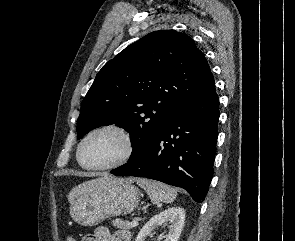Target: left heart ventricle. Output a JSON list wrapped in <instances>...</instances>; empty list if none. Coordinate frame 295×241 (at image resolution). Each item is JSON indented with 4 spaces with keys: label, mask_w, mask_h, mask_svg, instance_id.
Wrapping results in <instances>:
<instances>
[{
    "label": "left heart ventricle",
    "mask_w": 295,
    "mask_h": 241,
    "mask_svg": "<svg viewBox=\"0 0 295 241\" xmlns=\"http://www.w3.org/2000/svg\"><path fill=\"white\" fill-rule=\"evenodd\" d=\"M125 152L123 138L114 131H101L93 134L84 144L82 162L88 166H102L120 159Z\"/></svg>",
    "instance_id": "left-heart-ventricle-1"
}]
</instances>
